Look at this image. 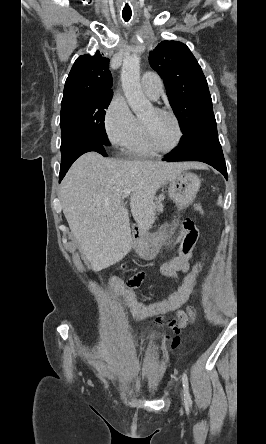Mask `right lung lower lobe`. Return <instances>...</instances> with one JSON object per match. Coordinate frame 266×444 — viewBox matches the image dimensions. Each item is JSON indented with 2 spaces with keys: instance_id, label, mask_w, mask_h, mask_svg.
<instances>
[{
  "instance_id": "obj_1",
  "label": "right lung lower lobe",
  "mask_w": 266,
  "mask_h": 444,
  "mask_svg": "<svg viewBox=\"0 0 266 444\" xmlns=\"http://www.w3.org/2000/svg\"><path fill=\"white\" fill-rule=\"evenodd\" d=\"M105 147H106L105 145H103L97 141H94V140L86 141V142H83L82 144H80L72 153H70L69 155H67L66 157L61 159L59 182H61V180L65 176L66 172L68 171V169L70 168L72 163L78 157H80L82 154H84L86 152H90V151H95V152L100 153L103 156H107V154L105 152Z\"/></svg>"
}]
</instances>
